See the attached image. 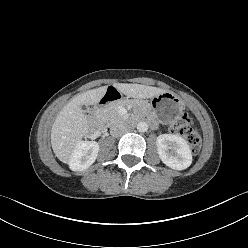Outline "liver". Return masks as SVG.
<instances>
[{"label":"liver","instance_id":"obj_1","mask_svg":"<svg viewBox=\"0 0 248 248\" xmlns=\"http://www.w3.org/2000/svg\"><path fill=\"white\" fill-rule=\"evenodd\" d=\"M114 87L122 94L134 99H148L165 90L141 84L117 83ZM107 86L88 90L69 101L56 117L51 129V145L55 156L69 163L76 145L90 130V121L82 105H96L105 95Z\"/></svg>","mask_w":248,"mask_h":248}]
</instances>
